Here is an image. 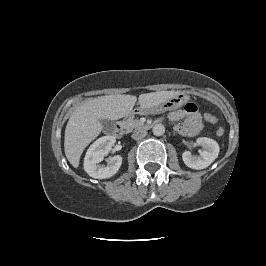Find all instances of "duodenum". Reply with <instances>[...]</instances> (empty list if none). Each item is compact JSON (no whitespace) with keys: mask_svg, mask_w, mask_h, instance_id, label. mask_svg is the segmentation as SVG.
<instances>
[{"mask_svg":"<svg viewBox=\"0 0 266 266\" xmlns=\"http://www.w3.org/2000/svg\"><path fill=\"white\" fill-rule=\"evenodd\" d=\"M133 114H137V111H134ZM114 134L116 137H122L124 134V124L122 122H118L115 125Z\"/></svg>","mask_w":266,"mask_h":266,"instance_id":"1","label":"duodenum"}]
</instances>
